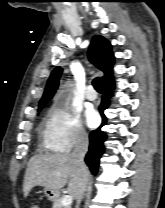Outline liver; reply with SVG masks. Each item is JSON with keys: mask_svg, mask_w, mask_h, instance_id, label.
Masks as SVG:
<instances>
[{"mask_svg": "<svg viewBox=\"0 0 165 208\" xmlns=\"http://www.w3.org/2000/svg\"><path fill=\"white\" fill-rule=\"evenodd\" d=\"M89 179V171L87 174ZM68 183V192L72 198H78L83 178L70 154L39 153L33 156L25 172L23 193L27 197L35 186H42L59 193Z\"/></svg>", "mask_w": 165, "mask_h": 208, "instance_id": "obj_1", "label": "liver"}]
</instances>
